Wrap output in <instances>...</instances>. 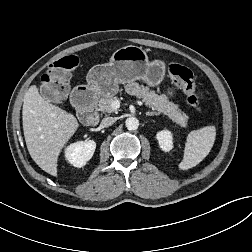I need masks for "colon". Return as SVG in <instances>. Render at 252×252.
I'll use <instances>...</instances> for the list:
<instances>
[{"label":"colon","instance_id":"colon-1","mask_svg":"<svg viewBox=\"0 0 252 252\" xmlns=\"http://www.w3.org/2000/svg\"><path fill=\"white\" fill-rule=\"evenodd\" d=\"M78 65L76 56H66L50 65L43 76V83L59 98L66 96L69 90L68 78L72 70ZM168 72L171 79L181 88L188 103L198 112H202L204 97L197 89L193 73L180 63H170Z\"/></svg>","mask_w":252,"mask_h":252}]
</instances>
